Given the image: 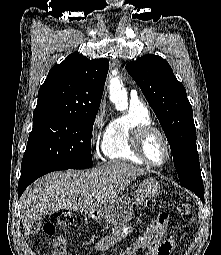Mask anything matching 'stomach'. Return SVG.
<instances>
[{
    "mask_svg": "<svg viewBox=\"0 0 221 255\" xmlns=\"http://www.w3.org/2000/svg\"><path fill=\"white\" fill-rule=\"evenodd\" d=\"M160 193V186L153 178L144 179L133 194V198L119 194L104 205L101 210L92 212L93 218H104L114 226L126 225L132 218L134 203L143 204L146 198L156 197Z\"/></svg>",
    "mask_w": 221,
    "mask_h": 255,
    "instance_id": "0dacf381",
    "label": "stomach"
}]
</instances>
